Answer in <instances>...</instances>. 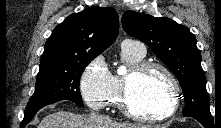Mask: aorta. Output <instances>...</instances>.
<instances>
[{"mask_svg": "<svg viewBox=\"0 0 221 128\" xmlns=\"http://www.w3.org/2000/svg\"><path fill=\"white\" fill-rule=\"evenodd\" d=\"M117 72L120 75L125 74L126 73V68L121 66V67L118 68Z\"/></svg>", "mask_w": 221, "mask_h": 128, "instance_id": "762f6f07", "label": "aorta"}]
</instances>
